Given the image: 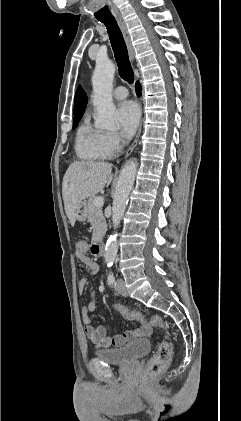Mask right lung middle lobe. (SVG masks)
Segmentation results:
<instances>
[{
  "mask_svg": "<svg viewBox=\"0 0 241 421\" xmlns=\"http://www.w3.org/2000/svg\"><path fill=\"white\" fill-rule=\"evenodd\" d=\"M81 117L73 119V129H75L80 121Z\"/></svg>",
  "mask_w": 241,
  "mask_h": 421,
  "instance_id": "1",
  "label": "right lung middle lobe"
}]
</instances>
